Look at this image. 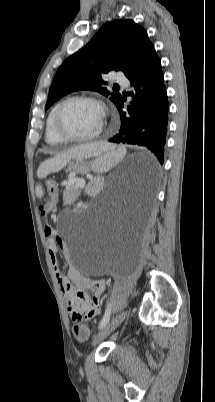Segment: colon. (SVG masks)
Instances as JSON below:
<instances>
[{"label": "colon", "instance_id": "colon-1", "mask_svg": "<svg viewBox=\"0 0 215 402\" xmlns=\"http://www.w3.org/2000/svg\"><path fill=\"white\" fill-rule=\"evenodd\" d=\"M46 188L48 192V199L42 207V214L47 215L49 212L54 211L56 207V193H57V183L53 179H49L46 182ZM74 334L80 340H85L89 336L88 328L80 322V318H74Z\"/></svg>", "mask_w": 215, "mask_h": 402}]
</instances>
